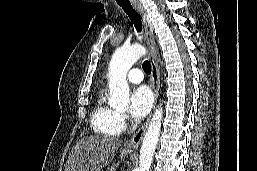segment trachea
I'll return each mask as SVG.
<instances>
[{"label": "trachea", "mask_w": 257, "mask_h": 171, "mask_svg": "<svg viewBox=\"0 0 257 171\" xmlns=\"http://www.w3.org/2000/svg\"><path fill=\"white\" fill-rule=\"evenodd\" d=\"M119 5L126 12V14L129 16V18H130L131 22L134 24L137 32L140 33L142 31V21H141V18L139 16V14L133 8L131 3H125V4L119 3ZM142 67L147 74L151 73V65H150L149 61H147V60L144 61Z\"/></svg>", "instance_id": "3493384b"}]
</instances>
